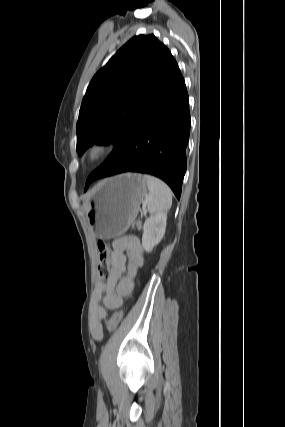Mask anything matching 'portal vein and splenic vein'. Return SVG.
<instances>
[{"label":"portal vein and splenic vein","mask_w":285,"mask_h":427,"mask_svg":"<svg viewBox=\"0 0 285 427\" xmlns=\"http://www.w3.org/2000/svg\"><path fill=\"white\" fill-rule=\"evenodd\" d=\"M142 212H143V213H146V210H145V208H143Z\"/></svg>","instance_id":"portal-vein-and-splenic-vein-1"}]
</instances>
